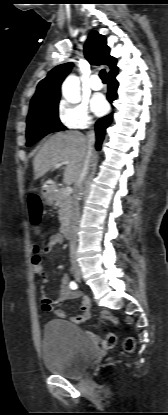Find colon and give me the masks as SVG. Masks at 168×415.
<instances>
[{
    "instance_id": "obj_1",
    "label": "colon",
    "mask_w": 168,
    "mask_h": 415,
    "mask_svg": "<svg viewBox=\"0 0 168 415\" xmlns=\"http://www.w3.org/2000/svg\"><path fill=\"white\" fill-rule=\"evenodd\" d=\"M30 220L33 225H37L41 218V203L36 195L29 198L28 201ZM45 265L44 257L42 255L32 256V273L38 278L43 279L45 277ZM100 318L103 320H109L115 324H119L117 317L107 311L100 313ZM95 346L101 351L105 352L111 349L115 344V336L112 333H108L104 338H99L94 334L89 335ZM136 346L135 340L128 337L124 340L123 347L127 352L134 351Z\"/></svg>"
}]
</instances>
